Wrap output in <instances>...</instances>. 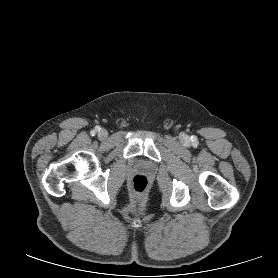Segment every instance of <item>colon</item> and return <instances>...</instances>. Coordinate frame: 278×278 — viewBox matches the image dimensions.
I'll return each mask as SVG.
<instances>
[{
  "mask_svg": "<svg viewBox=\"0 0 278 278\" xmlns=\"http://www.w3.org/2000/svg\"><path fill=\"white\" fill-rule=\"evenodd\" d=\"M148 179L144 175H136L133 177L132 180V191L135 195L141 196L143 195L148 189Z\"/></svg>",
  "mask_w": 278,
  "mask_h": 278,
  "instance_id": "obj_1",
  "label": "colon"
}]
</instances>
